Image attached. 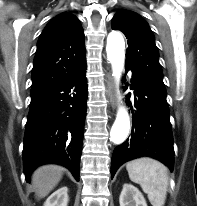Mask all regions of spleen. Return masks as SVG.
<instances>
[{
  "instance_id": "3e777b00",
  "label": "spleen",
  "mask_w": 197,
  "mask_h": 206,
  "mask_svg": "<svg viewBox=\"0 0 197 206\" xmlns=\"http://www.w3.org/2000/svg\"><path fill=\"white\" fill-rule=\"evenodd\" d=\"M129 178L141 186L152 206L165 204L169 184L167 168L159 161L142 157L126 165Z\"/></svg>"
}]
</instances>
